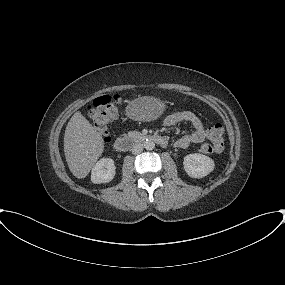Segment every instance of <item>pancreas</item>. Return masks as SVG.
<instances>
[{
	"label": "pancreas",
	"instance_id": "cf45deb5",
	"mask_svg": "<svg viewBox=\"0 0 285 285\" xmlns=\"http://www.w3.org/2000/svg\"><path fill=\"white\" fill-rule=\"evenodd\" d=\"M128 135H129L130 137L135 138V137L140 136V133L137 132V131H130V132L128 133Z\"/></svg>",
	"mask_w": 285,
	"mask_h": 285
}]
</instances>
